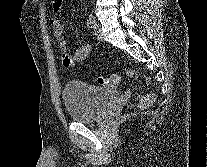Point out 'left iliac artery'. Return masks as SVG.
<instances>
[{
  "label": "left iliac artery",
  "instance_id": "obj_1",
  "mask_svg": "<svg viewBox=\"0 0 207 167\" xmlns=\"http://www.w3.org/2000/svg\"><path fill=\"white\" fill-rule=\"evenodd\" d=\"M89 24H90L91 28H94V26L96 24L95 17H94V15L92 13L89 16Z\"/></svg>",
  "mask_w": 207,
  "mask_h": 167
}]
</instances>
